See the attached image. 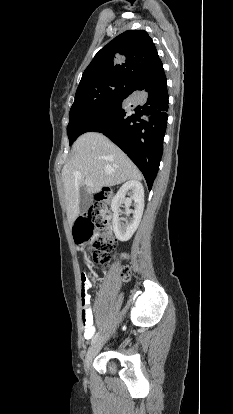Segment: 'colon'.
Here are the masks:
<instances>
[{"label":"colon","instance_id":"5ec220e1","mask_svg":"<svg viewBox=\"0 0 233 414\" xmlns=\"http://www.w3.org/2000/svg\"><path fill=\"white\" fill-rule=\"evenodd\" d=\"M111 196V189L103 188L96 194L90 210L80 216L74 225L73 232L76 243L89 244L94 248L91 269L94 275L101 273V266L109 261L110 252L114 247V239L109 232L104 231L98 237L95 236L96 230H105L109 224L110 214L107 205ZM121 277L123 280L129 279L130 270L128 267L122 268Z\"/></svg>","mask_w":233,"mask_h":414}]
</instances>
